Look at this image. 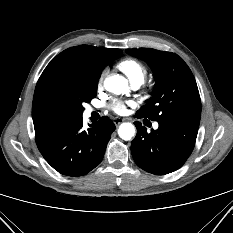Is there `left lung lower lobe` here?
Here are the masks:
<instances>
[{
	"mask_svg": "<svg viewBox=\"0 0 233 233\" xmlns=\"http://www.w3.org/2000/svg\"><path fill=\"white\" fill-rule=\"evenodd\" d=\"M158 123V129L148 133L140 122H135L137 135L131 143V152L140 168L165 175L179 169L190 156L199 122L172 119Z\"/></svg>",
	"mask_w": 233,
	"mask_h": 233,
	"instance_id": "left-lung-lower-lobe-1",
	"label": "left lung lower lobe"
}]
</instances>
